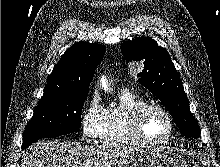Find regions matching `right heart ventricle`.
<instances>
[{
  "mask_svg": "<svg viewBox=\"0 0 220 167\" xmlns=\"http://www.w3.org/2000/svg\"><path fill=\"white\" fill-rule=\"evenodd\" d=\"M146 101L130 90H122L119 104L106 110L100 142L107 146H133L140 143L132 135L130 119L133 111Z\"/></svg>",
  "mask_w": 220,
  "mask_h": 167,
  "instance_id": "obj_1",
  "label": "right heart ventricle"
}]
</instances>
